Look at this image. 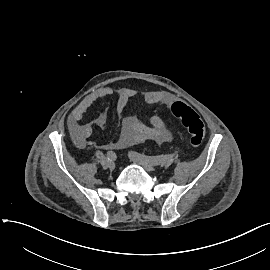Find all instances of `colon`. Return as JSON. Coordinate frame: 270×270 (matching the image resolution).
<instances>
[{"label":"colon","mask_w":270,"mask_h":270,"mask_svg":"<svg viewBox=\"0 0 270 270\" xmlns=\"http://www.w3.org/2000/svg\"><path fill=\"white\" fill-rule=\"evenodd\" d=\"M165 113L181 122L188 133L192 147H199L205 137L204 124L198 114L183 102H174L165 108Z\"/></svg>","instance_id":"colon-1"}]
</instances>
